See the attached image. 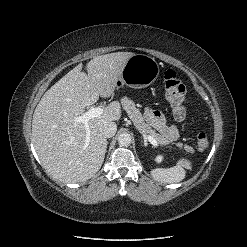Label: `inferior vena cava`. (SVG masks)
I'll return each instance as SVG.
<instances>
[{"mask_svg":"<svg viewBox=\"0 0 247 247\" xmlns=\"http://www.w3.org/2000/svg\"><path fill=\"white\" fill-rule=\"evenodd\" d=\"M117 131V125L114 122H107L103 127V134L106 138H111Z\"/></svg>","mask_w":247,"mask_h":247,"instance_id":"602c4592","label":"inferior vena cava"}]
</instances>
